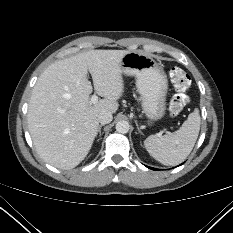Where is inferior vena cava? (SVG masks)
Listing matches in <instances>:
<instances>
[{
    "mask_svg": "<svg viewBox=\"0 0 233 233\" xmlns=\"http://www.w3.org/2000/svg\"><path fill=\"white\" fill-rule=\"evenodd\" d=\"M112 119H113V116L110 111H102L98 116V121L102 125L110 123Z\"/></svg>",
    "mask_w": 233,
    "mask_h": 233,
    "instance_id": "1",
    "label": "inferior vena cava"
}]
</instances>
